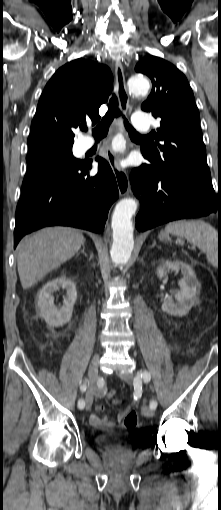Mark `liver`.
Segmentation results:
<instances>
[{"mask_svg":"<svg viewBox=\"0 0 221 510\" xmlns=\"http://www.w3.org/2000/svg\"><path fill=\"white\" fill-rule=\"evenodd\" d=\"M84 242L82 232L69 227H48L25 237L17 248V267L23 289L32 287L71 259Z\"/></svg>","mask_w":221,"mask_h":510,"instance_id":"liver-1","label":"liver"}]
</instances>
